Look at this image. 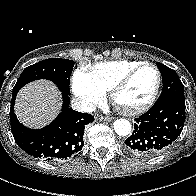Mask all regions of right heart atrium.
<instances>
[{
  "label": "right heart atrium",
  "mask_w": 196,
  "mask_h": 196,
  "mask_svg": "<svg viewBox=\"0 0 196 196\" xmlns=\"http://www.w3.org/2000/svg\"><path fill=\"white\" fill-rule=\"evenodd\" d=\"M72 91L82 107L87 110L95 108L105 97V91L93 80L89 72L83 69L74 72Z\"/></svg>",
  "instance_id": "obj_1"
}]
</instances>
